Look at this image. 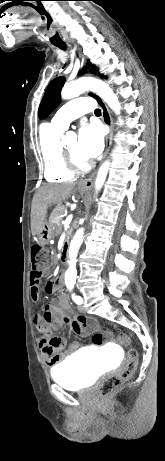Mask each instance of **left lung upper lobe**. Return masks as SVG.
<instances>
[{"label": "left lung upper lobe", "instance_id": "1", "mask_svg": "<svg viewBox=\"0 0 165 461\" xmlns=\"http://www.w3.org/2000/svg\"><path fill=\"white\" fill-rule=\"evenodd\" d=\"M88 66H91V63H89ZM92 72H96V67L94 65L92 66ZM64 81L65 79L63 77H57L48 85L38 111L39 117L42 119L48 117L52 110L58 105L60 101V91Z\"/></svg>", "mask_w": 165, "mask_h": 461}]
</instances>
